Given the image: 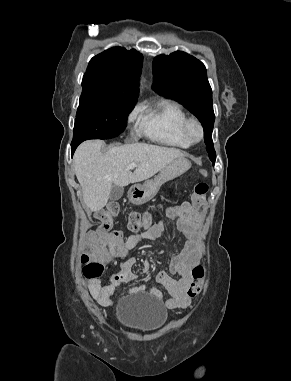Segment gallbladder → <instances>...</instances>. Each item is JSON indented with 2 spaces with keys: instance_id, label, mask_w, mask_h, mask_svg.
<instances>
[{
  "instance_id": "obj_1",
  "label": "gallbladder",
  "mask_w": 291,
  "mask_h": 381,
  "mask_svg": "<svg viewBox=\"0 0 291 381\" xmlns=\"http://www.w3.org/2000/svg\"><path fill=\"white\" fill-rule=\"evenodd\" d=\"M124 189L123 187L114 185L111 189L110 199L111 200H119L123 195Z\"/></svg>"
}]
</instances>
